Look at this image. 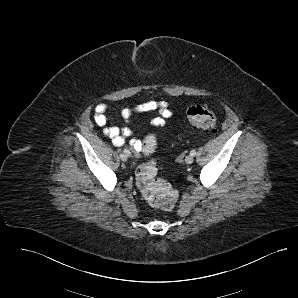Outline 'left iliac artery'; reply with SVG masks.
I'll return each instance as SVG.
<instances>
[{"mask_svg": "<svg viewBox=\"0 0 298 298\" xmlns=\"http://www.w3.org/2000/svg\"><path fill=\"white\" fill-rule=\"evenodd\" d=\"M190 154H191L192 156H194V155H196V151H195V150H191Z\"/></svg>", "mask_w": 298, "mask_h": 298, "instance_id": "44dca946", "label": "left iliac artery"}]
</instances>
